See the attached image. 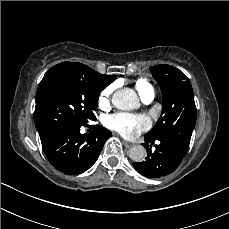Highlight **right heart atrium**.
<instances>
[{
	"mask_svg": "<svg viewBox=\"0 0 229 229\" xmlns=\"http://www.w3.org/2000/svg\"><path fill=\"white\" fill-rule=\"evenodd\" d=\"M113 94V86L109 85L106 88H104L99 96H98V106L101 109H105L107 107H109L110 102H111V97Z\"/></svg>",
	"mask_w": 229,
	"mask_h": 229,
	"instance_id": "right-heart-atrium-1",
	"label": "right heart atrium"
}]
</instances>
